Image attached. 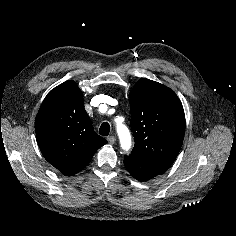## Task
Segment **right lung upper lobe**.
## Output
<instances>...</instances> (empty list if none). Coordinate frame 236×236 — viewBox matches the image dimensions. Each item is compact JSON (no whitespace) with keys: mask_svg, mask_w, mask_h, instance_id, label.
<instances>
[{"mask_svg":"<svg viewBox=\"0 0 236 236\" xmlns=\"http://www.w3.org/2000/svg\"><path fill=\"white\" fill-rule=\"evenodd\" d=\"M35 131L45 159L65 175L81 171L107 143L93 130L74 81H66L48 93L36 116Z\"/></svg>","mask_w":236,"mask_h":236,"instance_id":"obj_1","label":"right lung upper lobe"}]
</instances>
